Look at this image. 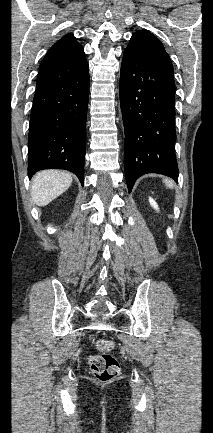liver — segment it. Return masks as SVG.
Returning <instances> with one entry per match:
<instances>
[{
    "label": "liver",
    "mask_w": 213,
    "mask_h": 433,
    "mask_svg": "<svg viewBox=\"0 0 213 433\" xmlns=\"http://www.w3.org/2000/svg\"><path fill=\"white\" fill-rule=\"evenodd\" d=\"M72 184L69 172L48 169L38 172L31 181V196L38 206H46L63 194Z\"/></svg>",
    "instance_id": "6515ba94"
}]
</instances>
